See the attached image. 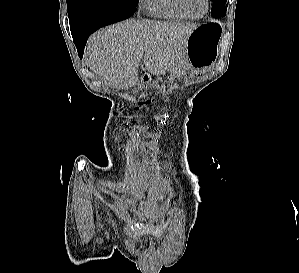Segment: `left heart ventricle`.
Here are the masks:
<instances>
[{
    "label": "left heart ventricle",
    "mask_w": 299,
    "mask_h": 273,
    "mask_svg": "<svg viewBox=\"0 0 299 273\" xmlns=\"http://www.w3.org/2000/svg\"><path fill=\"white\" fill-rule=\"evenodd\" d=\"M188 12L193 16H199L204 12L205 0H184Z\"/></svg>",
    "instance_id": "b2bd125f"
}]
</instances>
